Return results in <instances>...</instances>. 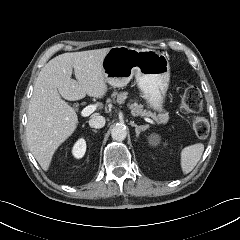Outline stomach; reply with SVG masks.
<instances>
[{
    "mask_svg": "<svg viewBox=\"0 0 240 240\" xmlns=\"http://www.w3.org/2000/svg\"><path fill=\"white\" fill-rule=\"evenodd\" d=\"M102 69L113 87H124L135 77L141 96L151 108L162 111L170 78L169 61L163 53L115 46L103 58Z\"/></svg>",
    "mask_w": 240,
    "mask_h": 240,
    "instance_id": "stomach-1",
    "label": "stomach"
}]
</instances>
